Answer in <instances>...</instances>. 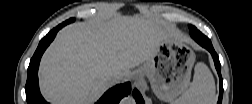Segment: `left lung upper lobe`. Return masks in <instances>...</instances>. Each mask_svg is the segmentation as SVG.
<instances>
[{
  "label": "left lung upper lobe",
  "mask_w": 252,
  "mask_h": 104,
  "mask_svg": "<svg viewBox=\"0 0 252 104\" xmlns=\"http://www.w3.org/2000/svg\"><path fill=\"white\" fill-rule=\"evenodd\" d=\"M189 29H190V33H191V32H193V30H195V29H197V28H195V27L192 26V25H189Z\"/></svg>",
  "instance_id": "left-lung-upper-lobe-1"
}]
</instances>
